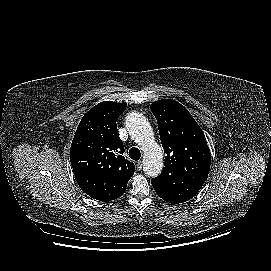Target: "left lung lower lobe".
I'll use <instances>...</instances> for the list:
<instances>
[{
  "label": "left lung lower lobe",
  "mask_w": 271,
  "mask_h": 271,
  "mask_svg": "<svg viewBox=\"0 0 271 271\" xmlns=\"http://www.w3.org/2000/svg\"><path fill=\"white\" fill-rule=\"evenodd\" d=\"M151 182L159 197L173 204L188 201L195 196L202 187L192 183L179 173H171L164 176L159 182L152 180Z\"/></svg>",
  "instance_id": "left-lung-lower-lobe-1"
}]
</instances>
